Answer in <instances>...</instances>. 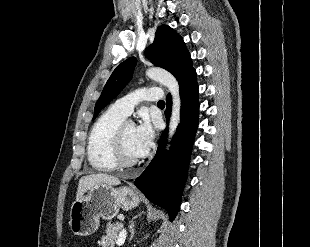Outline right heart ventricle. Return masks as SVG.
<instances>
[{
  "label": "right heart ventricle",
  "instance_id": "1",
  "mask_svg": "<svg viewBox=\"0 0 310 247\" xmlns=\"http://www.w3.org/2000/svg\"><path fill=\"white\" fill-rule=\"evenodd\" d=\"M125 118L111 106L99 116L92 126L87 145V157L95 170L109 172L117 168L113 156L114 137L116 130Z\"/></svg>",
  "mask_w": 310,
  "mask_h": 247
}]
</instances>
